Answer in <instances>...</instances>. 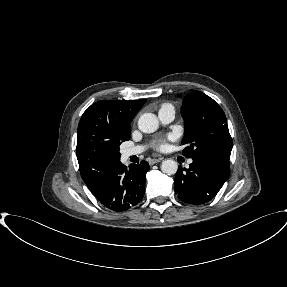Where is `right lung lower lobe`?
Wrapping results in <instances>:
<instances>
[{
  "mask_svg": "<svg viewBox=\"0 0 287 287\" xmlns=\"http://www.w3.org/2000/svg\"><path fill=\"white\" fill-rule=\"evenodd\" d=\"M148 170L146 161L133 164L129 169L120 162L105 169L90 191L106 208L126 211L143 198Z\"/></svg>",
  "mask_w": 287,
  "mask_h": 287,
  "instance_id": "1",
  "label": "right lung lower lobe"
}]
</instances>
